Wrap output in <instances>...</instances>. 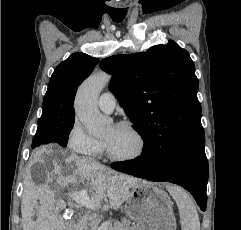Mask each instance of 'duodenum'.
Instances as JSON below:
<instances>
[{"instance_id":"obj_1","label":"duodenum","mask_w":241,"mask_h":230,"mask_svg":"<svg viewBox=\"0 0 241 230\" xmlns=\"http://www.w3.org/2000/svg\"><path fill=\"white\" fill-rule=\"evenodd\" d=\"M73 224H74V222H71V224H70L71 230H72V226H73Z\"/></svg>"}]
</instances>
